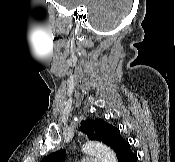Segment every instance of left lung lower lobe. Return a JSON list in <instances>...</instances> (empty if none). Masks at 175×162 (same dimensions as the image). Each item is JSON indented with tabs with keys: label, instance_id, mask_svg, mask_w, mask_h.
<instances>
[{
	"label": "left lung lower lobe",
	"instance_id": "obj_1",
	"mask_svg": "<svg viewBox=\"0 0 175 162\" xmlns=\"http://www.w3.org/2000/svg\"><path fill=\"white\" fill-rule=\"evenodd\" d=\"M113 150L116 153L118 162H137V155L131 151L129 142L122 137L116 142Z\"/></svg>",
	"mask_w": 175,
	"mask_h": 162
}]
</instances>
